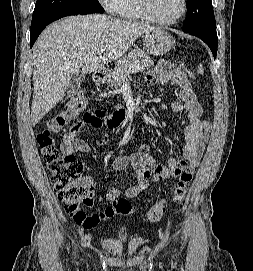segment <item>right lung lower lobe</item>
<instances>
[{"label":"right lung lower lobe","mask_w":253,"mask_h":271,"mask_svg":"<svg viewBox=\"0 0 253 271\" xmlns=\"http://www.w3.org/2000/svg\"><path fill=\"white\" fill-rule=\"evenodd\" d=\"M71 15H84L83 13L79 12H65L61 14H57L54 16H51L47 18L46 20L40 22L36 27L30 30L31 33V39H30V48L35 43L36 39L38 38L39 34L42 32V30L50 23H52L55 20H58L62 17L71 16Z\"/></svg>","instance_id":"1"}]
</instances>
